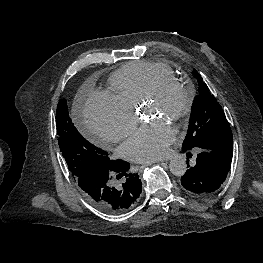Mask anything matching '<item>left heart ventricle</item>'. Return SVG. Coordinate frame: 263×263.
I'll return each instance as SVG.
<instances>
[{
    "instance_id": "left-heart-ventricle-1",
    "label": "left heart ventricle",
    "mask_w": 263,
    "mask_h": 263,
    "mask_svg": "<svg viewBox=\"0 0 263 263\" xmlns=\"http://www.w3.org/2000/svg\"><path fill=\"white\" fill-rule=\"evenodd\" d=\"M183 96L176 90L169 91L161 100L149 102L145 112L151 117L172 120L173 114L181 107Z\"/></svg>"
}]
</instances>
